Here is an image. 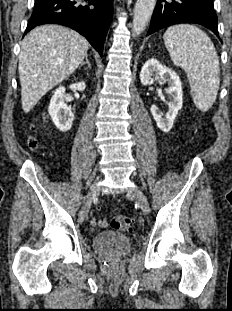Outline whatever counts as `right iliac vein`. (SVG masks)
<instances>
[{
  "label": "right iliac vein",
  "mask_w": 232,
  "mask_h": 311,
  "mask_svg": "<svg viewBox=\"0 0 232 311\" xmlns=\"http://www.w3.org/2000/svg\"><path fill=\"white\" fill-rule=\"evenodd\" d=\"M99 193V186L98 183L95 182L94 184L91 185L88 195H87V200L84 206L82 207L80 213H79V219L80 221H83L89 212L90 206L94 198L98 195Z\"/></svg>",
  "instance_id": "obj_1"
}]
</instances>
